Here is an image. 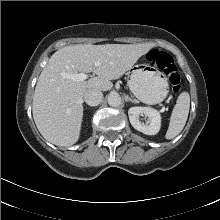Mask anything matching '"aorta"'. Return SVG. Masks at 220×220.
Masks as SVG:
<instances>
[{"label":"aorta","mask_w":220,"mask_h":220,"mask_svg":"<svg viewBox=\"0 0 220 220\" xmlns=\"http://www.w3.org/2000/svg\"><path fill=\"white\" fill-rule=\"evenodd\" d=\"M107 102L112 107H117L121 104L122 100L118 93H110L107 97Z\"/></svg>","instance_id":"1"}]
</instances>
